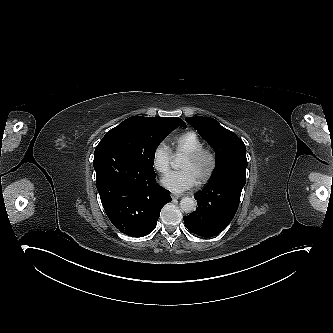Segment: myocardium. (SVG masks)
I'll return each mask as SVG.
<instances>
[{"label":"myocardium","mask_w":333,"mask_h":333,"mask_svg":"<svg viewBox=\"0 0 333 333\" xmlns=\"http://www.w3.org/2000/svg\"><path fill=\"white\" fill-rule=\"evenodd\" d=\"M203 163V168L200 172L195 174L198 183L205 182L212 175L215 168V156L207 149H199L188 154L181 161V165L188 164L190 166H197Z\"/></svg>","instance_id":"myocardium-1"}]
</instances>
